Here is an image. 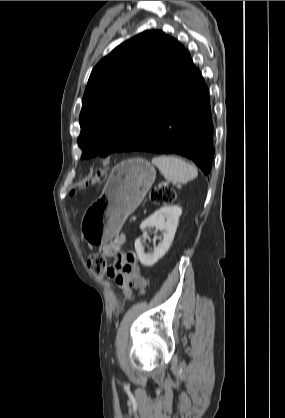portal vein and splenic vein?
Instances as JSON below:
<instances>
[{
  "instance_id": "1",
  "label": "portal vein and splenic vein",
  "mask_w": 285,
  "mask_h": 418,
  "mask_svg": "<svg viewBox=\"0 0 285 418\" xmlns=\"http://www.w3.org/2000/svg\"><path fill=\"white\" fill-rule=\"evenodd\" d=\"M163 185H168V182H165L163 184H159V187H162Z\"/></svg>"
}]
</instances>
